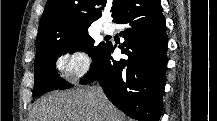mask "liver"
Listing matches in <instances>:
<instances>
[{
    "label": "liver",
    "instance_id": "1",
    "mask_svg": "<svg viewBox=\"0 0 217 121\" xmlns=\"http://www.w3.org/2000/svg\"><path fill=\"white\" fill-rule=\"evenodd\" d=\"M31 121H124L123 114L94 89L57 91L43 97L32 110Z\"/></svg>",
    "mask_w": 217,
    "mask_h": 121
}]
</instances>
